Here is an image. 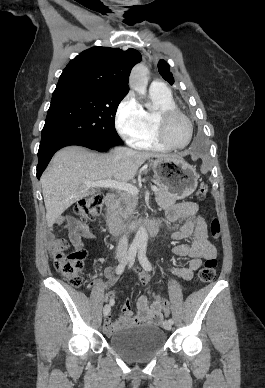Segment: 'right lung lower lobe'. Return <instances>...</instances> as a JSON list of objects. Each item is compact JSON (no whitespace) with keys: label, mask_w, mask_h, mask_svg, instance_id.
Wrapping results in <instances>:
<instances>
[{"label":"right lung lower lobe","mask_w":265,"mask_h":388,"mask_svg":"<svg viewBox=\"0 0 265 388\" xmlns=\"http://www.w3.org/2000/svg\"><path fill=\"white\" fill-rule=\"evenodd\" d=\"M69 145L84 146L100 152H105L110 148L108 146L96 145L88 141L87 139H84L79 136H74V135H62V136L53 137L43 142L41 141V144L38 150V160H39L38 166H37L38 179H40L42 172L47 167L54 153L60 148H63Z\"/></svg>","instance_id":"obj_1"}]
</instances>
